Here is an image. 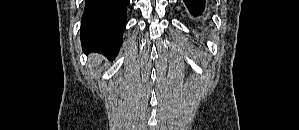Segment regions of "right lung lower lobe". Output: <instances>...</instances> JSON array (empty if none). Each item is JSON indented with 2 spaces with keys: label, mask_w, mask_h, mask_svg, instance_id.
I'll return each mask as SVG.
<instances>
[{
  "label": "right lung lower lobe",
  "mask_w": 299,
  "mask_h": 130,
  "mask_svg": "<svg viewBox=\"0 0 299 130\" xmlns=\"http://www.w3.org/2000/svg\"><path fill=\"white\" fill-rule=\"evenodd\" d=\"M129 0H86L81 20V42L86 52L114 59L122 44Z\"/></svg>",
  "instance_id": "98d812e1"
}]
</instances>
